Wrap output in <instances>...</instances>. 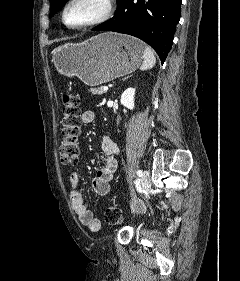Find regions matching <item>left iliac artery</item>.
I'll return each mask as SVG.
<instances>
[{"label":"left iliac artery","mask_w":240,"mask_h":281,"mask_svg":"<svg viewBox=\"0 0 240 281\" xmlns=\"http://www.w3.org/2000/svg\"><path fill=\"white\" fill-rule=\"evenodd\" d=\"M137 175H138L139 177H141V176H142V171H141V170H138V171H137Z\"/></svg>","instance_id":"obj_1"}]
</instances>
